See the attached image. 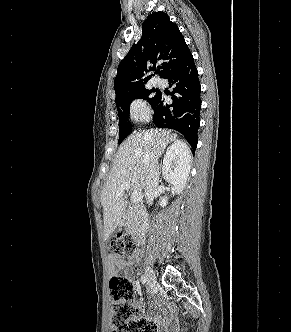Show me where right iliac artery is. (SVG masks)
<instances>
[{
	"label": "right iliac artery",
	"instance_id": "right-iliac-artery-1",
	"mask_svg": "<svg viewBox=\"0 0 291 332\" xmlns=\"http://www.w3.org/2000/svg\"><path fill=\"white\" fill-rule=\"evenodd\" d=\"M141 282L143 283V284H145L146 282H147V278H146V276H141Z\"/></svg>",
	"mask_w": 291,
	"mask_h": 332
}]
</instances>
